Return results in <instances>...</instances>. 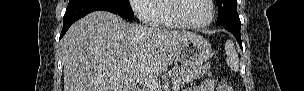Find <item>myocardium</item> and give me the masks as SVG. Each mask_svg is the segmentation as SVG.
Segmentation results:
<instances>
[{
  "label": "myocardium",
  "mask_w": 304,
  "mask_h": 91,
  "mask_svg": "<svg viewBox=\"0 0 304 91\" xmlns=\"http://www.w3.org/2000/svg\"><path fill=\"white\" fill-rule=\"evenodd\" d=\"M184 0H171L170 5H169V15L170 18L174 23L178 25L180 28L184 29H191V30H198V29H203L208 27L215 18L216 15V9H215V4L213 0H207L208 4L210 5L211 8V15L209 19L201 24H190L186 22L183 17L180 14V8H181V3Z\"/></svg>",
  "instance_id": "f54148a6"
}]
</instances>
